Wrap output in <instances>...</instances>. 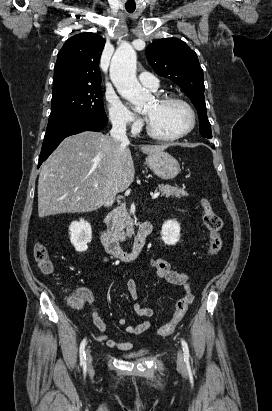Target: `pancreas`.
Returning a JSON list of instances; mask_svg holds the SVG:
<instances>
[{
  "label": "pancreas",
  "mask_w": 272,
  "mask_h": 411,
  "mask_svg": "<svg viewBox=\"0 0 272 411\" xmlns=\"http://www.w3.org/2000/svg\"><path fill=\"white\" fill-rule=\"evenodd\" d=\"M159 190L162 191V196L168 197H187L188 193L180 188L170 186V185H161ZM129 216L125 207L120 206L115 208L106 218V225L108 232L116 239L123 241L128 232H125L124 229L129 230Z\"/></svg>",
  "instance_id": "1"
}]
</instances>
